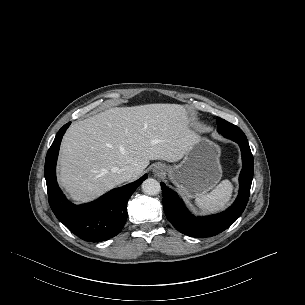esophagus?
<instances>
[{
	"instance_id": "obj_1",
	"label": "esophagus",
	"mask_w": 305,
	"mask_h": 305,
	"mask_svg": "<svg viewBox=\"0 0 305 305\" xmlns=\"http://www.w3.org/2000/svg\"><path fill=\"white\" fill-rule=\"evenodd\" d=\"M163 172H164V167L161 164H157L154 166L153 173L155 175L159 176V175L163 174Z\"/></svg>"
}]
</instances>
